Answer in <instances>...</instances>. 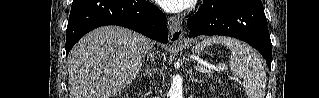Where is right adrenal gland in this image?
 Returning a JSON list of instances; mask_svg holds the SVG:
<instances>
[{
	"mask_svg": "<svg viewBox=\"0 0 319 98\" xmlns=\"http://www.w3.org/2000/svg\"><path fill=\"white\" fill-rule=\"evenodd\" d=\"M143 76L147 75V76H151V69H146L145 72L142 73Z\"/></svg>",
	"mask_w": 319,
	"mask_h": 98,
	"instance_id": "obj_1",
	"label": "right adrenal gland"
}]
</instances>
